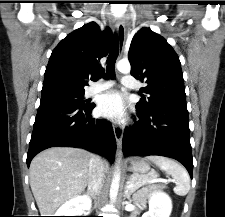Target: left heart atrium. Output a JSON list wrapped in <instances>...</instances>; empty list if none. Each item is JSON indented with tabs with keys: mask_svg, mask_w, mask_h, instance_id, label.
I'll list each match as a JSON object with an SVG mask.
<instances>
[{
	"mask_svg": "<svg viewBox=\"0 0 225 217\" xmlns=\"http://www.w3.org/2000/svg\"><path fill=\"white\" fill-rule=\"evenodd\" d=\"M98 111L101 115L111 119L119 120L125 114V101L117 91L103 94L98 101Z\"/></svg>",
	"mask_w": 225,
	"mask_h": 217,
	"instance_id": "1",
	"label": "left heart atrium"
}]
</instances>
